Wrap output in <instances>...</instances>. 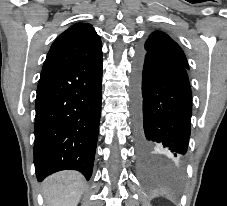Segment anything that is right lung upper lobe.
<instances>
[{
	"mask_svg": "<svg viewBox=\"0 0 227 206\" xmlns=\"http://www.w3.org/2000/svg\"><path fill=\"white\" fill-rule=\"evenodd\" d=\"M100 58L102 44L99 35L90 24L78 23L54 41L44 62L41 77L90 64Z\"/></svg>",
	"mask_w": 227,
	"mask_h": 206,
	"instance_id": "cb5924a9",
	"label": "right lung upper lobe"
}]
</instances>
